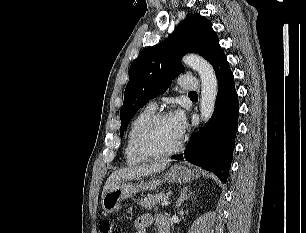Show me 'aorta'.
Segmentation results:
<instances>
[{"label": "aorta", "mask_w": 306, "mask_h": 233, "mask_svg": "<svg viewBox=\"0 0 306 233\" xmlns=\"http://www.w3.org/2000/svg\"><path fill=\"white\" fill-rule=\"evenodd\" d=\"M182 62L196 70L201 79L200 116L206 123L212 116L218 93V80L212 65L204 58L188 54Z\"/></svg>", "instance_id": "aorta-1"}]
</instances>
